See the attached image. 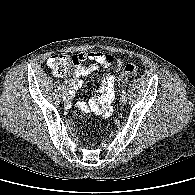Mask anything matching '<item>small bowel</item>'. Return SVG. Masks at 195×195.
Listing matches in <instances>:
<instances>
[{"label": "small bowel", "mask_w": 195, "mask_h": 195, "mask_svg": "<svg viewBox=\"0 0 195 195\" xmlns=\"http://www.w3.org/2000/svg\"><path fill=\"white\" fill-rule=\"evenodd\" d=\"M89 60L91 64L86 66L84 61ZM72 63L75 66L74 74L70 80V94H74L82 85V76H86L99 68H103L105 76L100 86L95 90L94 95L87 103L79 102L76 105L77 111L93 113L108 117L112 113L111 103L115 98V80L116 75L121 72L124 64V58L120 55H111L99 51L80 52L72 57ZM116 68H113V64Z\"/></svg>", "instance_id": "obj_1"}]
</instances>
